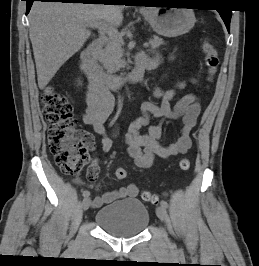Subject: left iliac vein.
<instances>
[{
	"label": "left iliac vein",
	"mask_w": 259,
	"mask_h": 266,
	"mask_svg": "<svg viewBox=\"0 0 259 266\" xmlns=\"http://www.w3.org/2000/svg\"><path fill=\"white\" fill-rule=\"evenodd\" d=\"M156 214L159 217V219L163 222H167L168 221V214L166 211V208L159 206L156 208Z\"/></svg>",
	"instance_id": "1"
}]
</instances>
